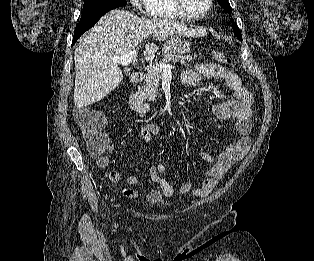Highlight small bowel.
<instances>
[{
	"instance_id": "small-bowel-1",
	"label": "small bowel",
	"mask_w": 314,
	"mask_h": 261,
	"mask_svg": "<svg viewBox=\"0 0 314 261\" xmlns=\"http://www.w3.org/2000/svg\"><path fill=\"white\" fill-rule=\"evenodd\" d=\"M205 78H212L221 80L226 87L231 91L229 97L225 100L219 101L213 106V114L220 120H233L235 122L236 131L241 136L229 143L226 148L221 151L217 157L213 158L209 155L203 154L201 158L209 163V168L206 171L205 179L201 188L194 189V194L200 197L209 195L214 187L218 184L223 175L229 170L231 164L242 159L250 148V138L252 123V93L243 85L240 77L232 70L216 63H200L194 67L186 70L182 74V81L187 85L200 83ZM105 125V118L102 127ZM160 132L157 125L147 124L143 126L139 135L141 137V145L133 152L134 155L150 144L152 136ZM113 147L110 145L108 152H111ZM109 163V156L107 153L99 156L98 165L104 168ZM167 167L164 163L159 162L156 165L149 167L148 174L151 180L157 183L162 193L169 197L173 194V189L170 183L163 177L166 173ZM120 174L117 172L108 173V179L111 182H117ZM126 182L129 185L135 186L138 184V178L134 175H128ZM192 190V183L184 182L180 187V193L186 194ZM122 193L131 199L137 198V192L129 187H124Z\"/></svg>"
}]
</instances>
